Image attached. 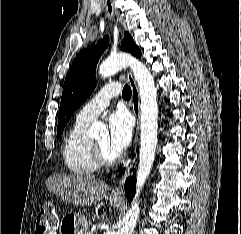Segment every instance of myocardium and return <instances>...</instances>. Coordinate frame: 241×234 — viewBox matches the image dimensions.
Wrapping results in <instances>:
<instances>
[{
    "mask_svg": "<svg viewBox=\"0 0 241 234\" xmlns=\"http://www.w3.org/2000/svg\"><path fill=\"white\" fill-rule=\"evenodd\" d=\"M92 144L94 158L100 167H111L120 161L119 154L114 157H109L96 141H92Z\"/></svg>",
    "mask_w": 241,
    "mask_h": 234,
    "instance_id": "1",
    "label": "myocardium"
}]
</instances>
